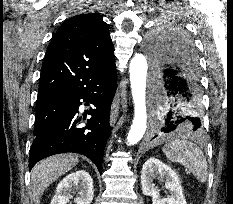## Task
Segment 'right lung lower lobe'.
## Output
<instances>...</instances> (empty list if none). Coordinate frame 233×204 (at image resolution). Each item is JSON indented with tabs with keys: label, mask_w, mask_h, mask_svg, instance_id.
Listing matches in <instances>:
<instances>
[{
	"label": "right lung lower lobe",
	"mask_w": 233,
	"mask_h": 204,
	"mask_svg": "<svg viewBox=\"0 0 233 204\" xmlns=\"http://www.w3.org/2000/svg\"><path fill=\"white\" fill-rule=\"evenodd\" d=\"M117 87L116 67L79 86L76 90L59 95L58 103L64 117L47 133L36 137L30 149L29 169L40 160L58 153L74 152L85 155L101 172L103 153L110 134V108ZM80 99L90 102L91 118L85 127H77Z\"/></svg>",
	"instance_id": "right-lung-lower-lobe-1"
}]
</instances>
